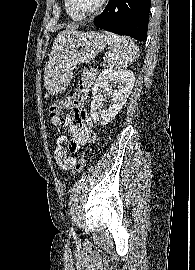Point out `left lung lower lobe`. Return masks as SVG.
<instances>
[{
    "label": "left lung lower lobe",
    "instance_id": "1",
    "mask_svg": "<svg viewBox=\"0 0 195 270\" xmlns=\"http://www.w3.org/2000/svg\"><path fill=\"white\" fill-rule=\"evenodd\" d=\"M150 6L151 0H109L105 10L94 19V24L144 41L147 39Z\"/></svg>",
    "mask_w": 195,
    "mask_h": 270
}]
</instances>
